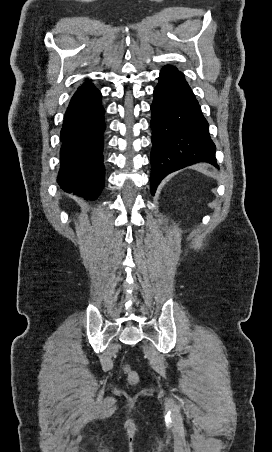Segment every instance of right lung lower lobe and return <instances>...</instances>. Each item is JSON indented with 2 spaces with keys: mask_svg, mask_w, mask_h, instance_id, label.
<instances>
[{
  "mask_svg": "<svg viewBox=\"0 0 272 452\" xmlns=\"http://www.w3.org/2000/svg\"><path fill=\"white\" fill-rule=\"evenodd\" d=\"M104 113L100 91L84 82L70 101L61 130L58 183L87 200L97 199L105 183Z\"/></svg>",
  "mask_w": 272,
  "mask_h": 452,
  "instance_id": "1",
  "label": "right lung lower lobe"
}]
</instances>
